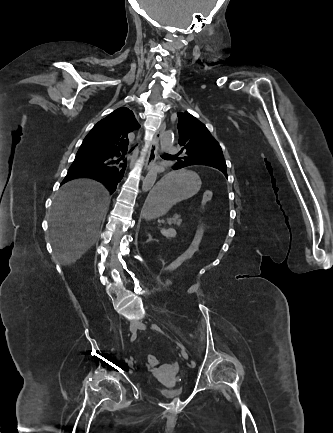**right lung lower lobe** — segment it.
I'll use <instances>...</instances> for the list:
<instances>
[{
  "mask_svg": "<svg viewBox=\"0 0 333 433\" xmlns=\"http://www.w3.org/2000/svg\"><path fill=\"white\" fill-rule=\"evenodd\" d=\"M93 144L87 137L81 146L93 148ZM121 152L125 153L126 150ZM120 155V151L105 154L77 153L62 184L72 179L88 177L101 182L112 194L126 169V159H116Z\"/></svg>",
  "mask_w": 333,
  "mask_h": 433,
  "instance_id": "98d812e1",
  "label": "right lung lower lobe"
}]
</instances>
